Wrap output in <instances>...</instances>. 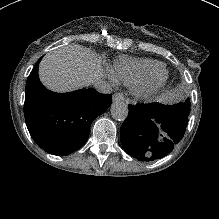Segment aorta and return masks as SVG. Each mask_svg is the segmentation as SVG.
<instances>
[{
  "label": "aorta",
  "instance_id": "762f6f07",
  "mask_svg": "<svg viewBox=\"0 0 219 219\" xmlns=\"http://www.w3.org/2000/svg\"><path fill=\"white\" fill-rule=\"evenodd\" d=\"M110 113L114 120L124 121L128 117V107L123 101H115L110 107Z\"/></svg>",
  "mask_w": 219,
  "mask_h": 219
}]
</instances>
